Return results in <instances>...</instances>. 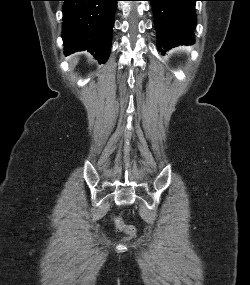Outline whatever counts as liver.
I'll return each instance as SVG.
<instances>
[{
  "mask_svg": "<svg viewBox=\"0 0 250 285\" xmlns=\"http://www.w3.org/2000/svg\"><path fill=\"white\" fill-rule=\"evenodd\" d=\"M78 62V59L77 58H73L72 61H71V65L72 67H74Z\"/></svg>",
  "mask_w": 250,
  "mask_h": 285,
  "instance_id": "6515ba94",
  "label": "liver"
}]
</instances>
